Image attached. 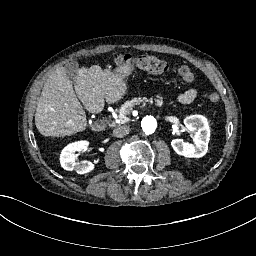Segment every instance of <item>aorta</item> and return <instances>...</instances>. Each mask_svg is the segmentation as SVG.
I'll use <instances>...</instances> for the list:
<instances>
[{
    "label": "aorta",
    "instance_id": "762f6f07",
    "mask_svg": "<svg viewBox=\"0 0 256 256\" xmlns=\"http://www.w3.org/2000/svg\"><path fill=\"white\" fill-rule=\"evenodd\" d=\"M157 124L158 123H157L156 118L149 115V116H146L142 119L140 125H141V128H142L143 131L149 133V132H152L156 129Z\"/></svg>",
    "mask_w": 256,
    "mask_h": 256
}]
</instances>
